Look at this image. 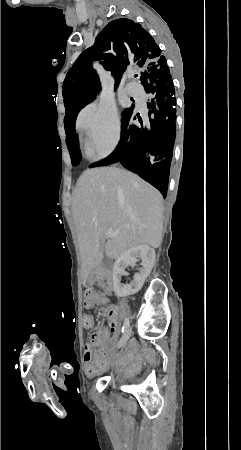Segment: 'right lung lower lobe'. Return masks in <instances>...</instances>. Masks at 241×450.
I'll list each match as a JSON object with an SVG mask.
<instances>
[{
	"mask_svg": "<svg viewBox=\"0 0 241 450\" xmlns=\"http://www.w3.org/2000/svg\"><path fill=\"white\" fill-rule=\"evenodd\" d=\"M141 84L149 95V124L134 125L132 113L121 123V139L116 149L105 159L90 167L106 166L120 162L126 169L136 173L167 195L170 165L176 136V97L167 63L150 67L140 76ZM78 113L64 118L68 146L80 152L75 135Z\"/></svg>",
	"mask_w": 241,
	"mask_h": 450,
	"instance_id": "1",
	"label": "right lung lower lobe"
}]
</instances>
